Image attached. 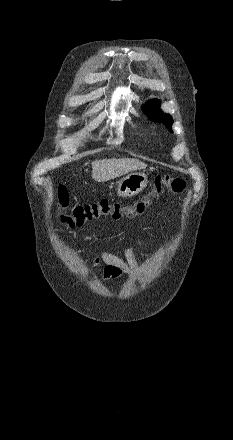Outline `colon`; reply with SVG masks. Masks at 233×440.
Here are the masks:
<instances>
[{
  "mask_svg": "<svg viewBox=\"0 0 233 440\" xmlns=\"http://www.w3.org/2000/svg\"><path fill=\"white\" fill-rule=\"evenodd\" d=\"M186 187L185 181L180 177L169 174H157L154 178L153 190L145 194L141 199L130 205H122L103 199L87 205L69 208V196L66 188L56 185L57 208L59 210V222L66 227H82L87 223L108 216L118 220L124 216L135 217L144 213L146 208L163 192L169 191L180 194Z\"/></svg>",
  "mask_w": 233,
  "mask_h": 440,
  "instance_id": "colon-1",
  "label": "colon"
}]
</instances>
